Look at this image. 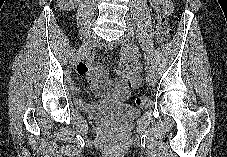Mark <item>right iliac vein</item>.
Returning a JSON list of instances; mask_svg holds the SVG:
<instances>
[{"mask_svg":"<svg viewBox=\"0 0 227 157\" xmlns=\"http://www.w3.org/2000/svg\"><path fill=\"white\" fill-rule=\"evenodd\" d=\"M97 42L98 37L96 35H91L74 54L72 58V65H76V63L79 62L84 57V55L97 44Z\"/></svg>","mask_w":227,"mask_h":157,"instance_id":"right-iliac-vein-1","label":"right iliac vein"}]
</instances>
